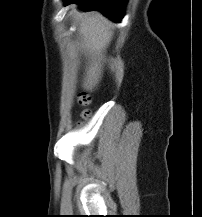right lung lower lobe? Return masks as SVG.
<instances>
[{"mask_svg":"<svg viewBox=\"0 0 202 217\" xmlns=\"http://www.w3.org/2000/svg\"><path fill=\"white\" fill-rule=\"evenodd\" d=\"M128 0H65V5L79 4L83 10H98L115 22L123 18Z\"/></svg>","mask_w":202,"mask_h":217,"instance_id":"right-lung-lower-lobe-1","label":"right lung lower lobe"}]
</instances>
